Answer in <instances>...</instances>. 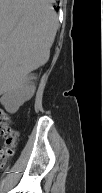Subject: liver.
I'll return each instance as SVG.
<instances>
[{
	"label": "liver",
	"instance_id": "liver-1",
	"mask_svg": "<svg viewBox=\"0 0 103 193\" xmlns=\"http://www.w3.org/2000/svg\"><path fill=\"white\" fill-rule=\"evenodd\" d=\"M49 0H1L2 69L10 76L36 69L49 57L56 15Z\"/></svg>",
	"mask_w": 103,
	"mask_h": 193
}]
</instances>
